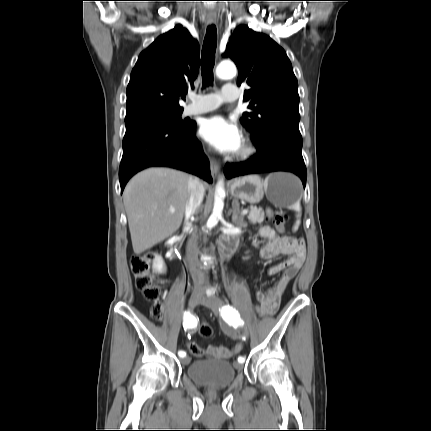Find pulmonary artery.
<instances>
[{
    "mask_svg": "<svg viewBox=\"0 0 431 431\" xmlns=\"http://www.w3.org/2000/svg\"><path fill=\"white\" fill-rule=\"evenodd\" d=\"M239 98V89L236 85L226 83L220 92L203 95H190L192 103L185 110V115H196L217 109L224 102L236 101Z\"/></svg>",
    "mask_w": 431,
    "mask_h": 431,
    "instance_id": "pulmonary-artery-1",
    "label": "pulmonary artery"
}]
</instances>
